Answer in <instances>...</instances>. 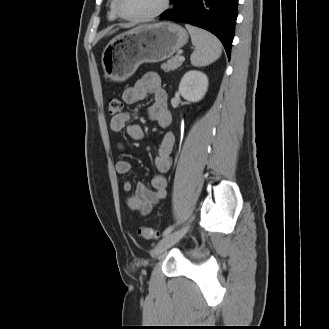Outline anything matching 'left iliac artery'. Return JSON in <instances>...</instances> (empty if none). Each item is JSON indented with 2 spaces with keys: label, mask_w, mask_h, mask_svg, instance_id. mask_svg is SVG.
<instances>
[{
  "label": "left iliac artery",
  "mask_w": 329,
  "mask_h": 329,
  "mask_svg": "<svg viewBox=\"0 0 329 329\" xmlns=\"http://www.w3.org/2000/svg\"><path fill=\"white\" fill-rule=\"evenodd\" d=\"M175 225H171L168 228H166L163 232V236L165 237L166 235H168L173 229H174Z\"/></svg>",
  "instance_id": "left-iliac-artery-1"
}]
</instances>
